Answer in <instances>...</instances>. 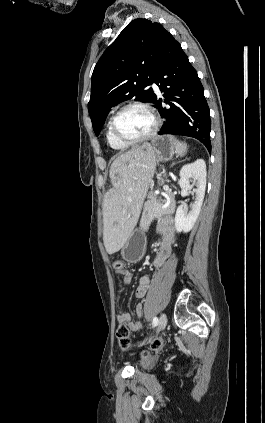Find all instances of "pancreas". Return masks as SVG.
Returning a JSON list of instances; mask_svg holds the SVG:
<instances>
[{
    "instance_id": "cf45deb5",
    "label": "pancreas",
    "mask_w": 265,
    "mask_h": 423,
    "mask_svg": "<svg viewBox=\"0 0 265 423\" xmlns=\"http://www.w3.org/2000/svg\"><path fill=\"white\" fill-rule=\"evenodd\" d=\"M169 203L166 207L157 210V207L163 206L164 204ZM175 211V196L171 191L165 192L163 198H158L154 193L148 195V200L144 204V209L142 217L140 220V227L143 230L148 229L151 222L160 218L164 215L173 214Z\"/></svg>"
}]
</instances>
